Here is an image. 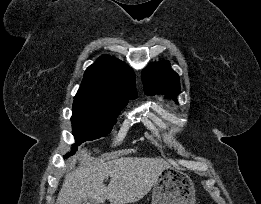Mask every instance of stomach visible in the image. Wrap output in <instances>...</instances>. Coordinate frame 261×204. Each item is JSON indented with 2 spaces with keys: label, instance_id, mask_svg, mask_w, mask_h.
I'll return each instance as SVG.
<instances>
[{
  "label": "stomach",
  "instance_id": "1",
  "mask_svg": "<svg viewBox=\"0 0 261 204\" xmlns=\"http://www.w3.org/2000/svg\"><path fill=\"white\" fill-rule=\"evenodd\" d=\"M151 204H195L193 181L175 168H165L153 185Z\"/></svg>",
  "mask_w": 261,
  "mask_h": 204
}]
</instances>
